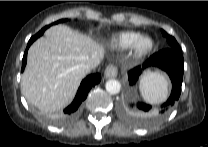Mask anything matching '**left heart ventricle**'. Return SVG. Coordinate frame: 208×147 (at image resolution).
I'll return each instance as SVG.
<instances>
[{"instance_id":"1","label":"left heart ventricle","mask_w":208,"mask_h":147,"mask_svg":"<svg viewBox=\"0 0 208 147\" xmlns=\"http://www.w3.org/2000/svg\"><path fill=\"white\" fill-rule=\"evenodd\" d=\"M148 44H149V42L146 40V41H144V42L142 43V47H147Z\"/></svg>"}]
</instances>
